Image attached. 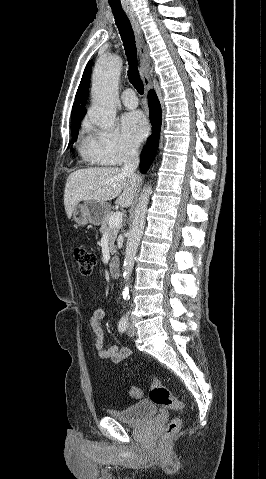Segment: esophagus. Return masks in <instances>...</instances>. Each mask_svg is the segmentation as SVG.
Instances as JSON below:
<instances>
[{"label":"esophagus","mask_w":266,"mask_h":479,"mask_svg":"<svg viewBox=\"0 0 266 479\" xmlns=\"http://www.w3.org/2000/svg\"><path fill=\"white\" fill-rule=\"evenodd\" d=\"M136 35L137 48L140 58V76L143 81L146 94L152 88V82L148 76V68L150 63L148 47L143 39L142 29L136 13L132 9L125 10Z\"/></svg>","instance_id":"obj_1"}]
</instances>
